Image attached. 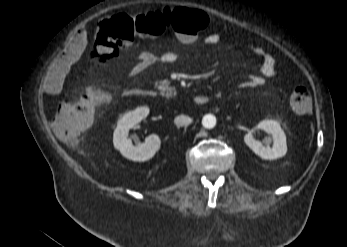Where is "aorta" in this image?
<instances>
[{"label":"aorta","mask_w":347,"mask_h":247,"mask_svg":"<svg viewBox=\"0 0 347 247\" xmlns=\"http://www.w3.org/2000/svg\"><path fill=\"white\" fill-rule=\"evenodd\" d=\"M202 125L207 129H212L216 125V117L213 114H206L202 119Z\"/></svg>","instance_id":"obj_1"}]
</instances>
